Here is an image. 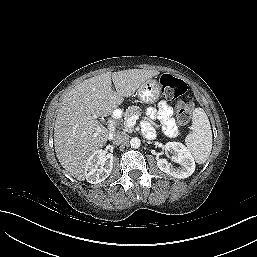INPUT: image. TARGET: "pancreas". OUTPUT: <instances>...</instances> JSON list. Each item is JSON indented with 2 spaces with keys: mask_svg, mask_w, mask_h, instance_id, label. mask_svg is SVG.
I'll list each match as a JSON object with an SVG mask.
<instances>
[{
  "mask_svg": "<svg viewBox=\"0 0 257 257\" xmlns=\"http://www.w3.org/2000/svg\"><path fill=\"white\" fill-rule=\"evenodd\" d=\"M141 111H142V109L138 106H130L126 109V111L124 112V118H125L124 129H123L124 132L131 133L133 131L132 127L129 128V127L126 126V121H127L128 118H130L133 115L140 116L141 113H142ZM153 125H155V124L153 123Z\"/></svg>",
  "mask_w": 257,
  "mask_h": 257,
  "instance_id": "obj_1",
  "label": "pancreas"
}]
</instances>
